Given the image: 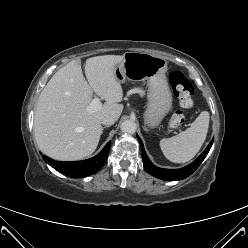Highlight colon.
Here are the masks:
<instances>
[{
	"label": "colon",
	"instance_id": "colon-1",
	"mask_svg": "<svg viewBox=\"0 0 248 248\" xmlns=\"http://www.w3.org/2000/svg\"><path fill=\"white\" fill-rule=\"evenodd\" d=\"M171 86L179 100L181 108H191L193 106V86L190 81L180 71H174L170 74ZM184 122L182 110H178L172 116L170 126L176 128Z\"/></svg>",
	"mask_w": 248,
	"mask_h": 248
}]
</instances>
